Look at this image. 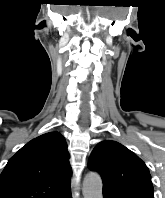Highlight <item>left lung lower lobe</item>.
Instances as JSON below:
<instances>
[{
  "label": "left lung lower lobe",
  "instance_id": "obj_1",
  "mask_svg": "<svg viewBox=\"0 0 165 198\" xmlns=\"http://www.w3.org/2000/svg\"><path fill=\"white\" fill-rule=\"evenodd\" d=\"M103 198H125L116 191L103 186Z\"/></svg>",
  "mask_w": 165,
  "mask_h": 198
}]
</instances>
